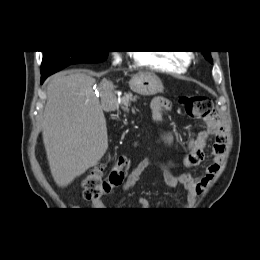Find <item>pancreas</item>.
<instances>
[{"mask_svg":"<svg viewBox=\"0 0 260 260\" xmlns=\"http://www.w3.org/2000/svg\"><path fill=\"white\" fill-rule=\"evenodd\" d=\"M136 99H137V96L133 97V95L131 93H129V94L125 95L124 97H122V99H121V103L123 105L122 109L124 111L128 112L129 111L128 107L130 106L131 102L132 101L133 102L136 101Z\"/></svg>","mask_w":260,"mask_h":260,"instance_id":"obj_1","label":"pancreas"}]
</instances>
